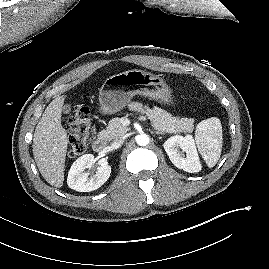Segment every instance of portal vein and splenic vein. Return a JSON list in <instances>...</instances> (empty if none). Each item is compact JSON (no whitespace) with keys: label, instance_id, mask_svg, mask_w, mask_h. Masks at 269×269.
Wrapping results in <instances>:
<instances>
[{"label":"portal vein and splenic vein","instance_id":"portal-vein-and-splenic-vein-1","mask_svg":"<svg viewBox=\"0 0 269 269\" xmlns=\"http://www.w3.org/2000/svg\"><path fill=\"white\" fill-rule=\"evenodd\" d=\"M127 123H129V121H128V120H126V124H127Z\"/></svg>","mask_w":269,"mask_h":269}]
</instances>
